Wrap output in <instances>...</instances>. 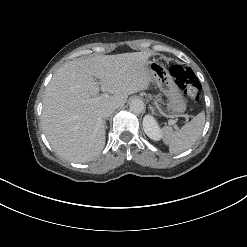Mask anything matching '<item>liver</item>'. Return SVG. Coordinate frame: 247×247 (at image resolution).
<instances>
[{
    "instance_id": "6515ba94",
    "label": "liver",
    "mask_w": 247,
    "mask_h": 247,
    "mask_svg": "<svg viewBox=\"0 0 247 247\" xmlns=\"http://www.w3.org/2000/svg\"><path fill=\"white\" fill-rule=\"evenodd\" d=\"M150 56L133 52L75 59L56 71L45 90L41 119L47 140L58 155L85 163L101 153L105 146L101 108L107 104L121 107L129 95L148 88L152 81L147 67ZM100 89L113 96L99 97ZM90 99L92 102H85Z\"/></svg>"
}]
</instances>
